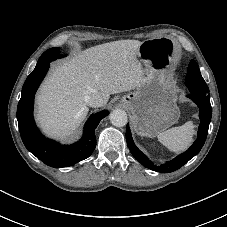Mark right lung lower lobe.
Listing matches in <instances>:
<instances>
[{"instance_id":"right-lung-lower-lobe-1","label":"right lung lower lobe","mask_w":227,"mask_h":227,"mask_svg":"<svg viewBox=\"0 0 227 227\" xmlns=\"http://www.w3.org/2000/svg\"><path fill=\"white\" fill-rule=\"evenodd\" d=\"M49 63H43L28 76L17 108L20 135L25 147L46 165L59 168L72 166L88 158L96 147L95 129L109 112L101 111L90 117L84 127L82 139L72 145H60L45 138L33 119L34 95L45 77Z\"/></svg>"}]
</instances>
